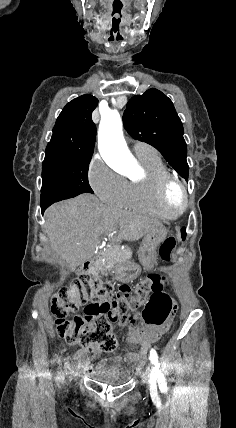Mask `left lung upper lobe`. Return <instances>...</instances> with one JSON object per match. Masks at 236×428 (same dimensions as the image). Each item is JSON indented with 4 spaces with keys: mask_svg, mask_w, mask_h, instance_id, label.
Listing matches in <instances>:
<instances>
[{
    "mask_svg": "<svg viewBox=\"0 0 236 428\" xmlns=\"http://www.w3.org/2000/svg\"><path fill=\"white\" fill-rule=\"evenodd\" d=\"M127 132L155 147L168 163L188 179L187 145L172 101L157 89L132 97L123 114Z\"/></svg>",
    "mask_w": 236,
    "mask_h": 428,
    "instance_id": "1",
    "label": "left lung upper lobe"
}]
</instances>
